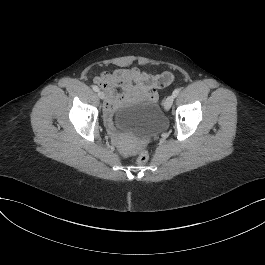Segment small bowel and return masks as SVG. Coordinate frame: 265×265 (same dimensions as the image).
I'll use <instances>...</instances> for the list:
<instances>
[{
  "instance_id": "obj_1",
  "label": "small bowel",
  "mask_w": 265,
  "mask_h": 265,
  "mask_svg": "<svg viewBox=\"0 0 265 265\" xmlns=\"http://www.w3.org/2000/svg\"><path fill=\"white\" fill-rule=\"evenodd\" d=\"M114 63L118 69L103 72L94 78V82L105 94L104 117L107 122L124 104L158 100V91L169 85L174 78L170 72L152 75L137 67H128L129 62L123 58L116 59Z\"/></svg>"
}]
</instances>
